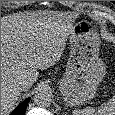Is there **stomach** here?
<instances>
[{"label": "stomach", "mask_w": 115, "mask_h": 115, "mask_svg": "<svg viewBox=\"0 0 115 115\" xmlns=\"http://www.w3.org/2000/svg\"><path fill=\"white\" fill-rule=\"evenodd\" d=\"M69 42L70 57L59 88L67 104L77 106L95 96L106 68L99 58V39L90 22L73 24Z\"/></svg>", "instance_id": "1"}]
</instances>
